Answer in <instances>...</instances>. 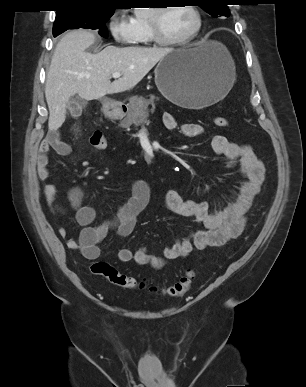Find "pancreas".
<instances>
[{
	"label": "pancreas",
	"mask_w": 306,
	"mask_h": 387,
	"mask_svg": "<svg viewBox=\"0 0 306 387\" xmlns=\"http://www.w3.org/2000/svg\"><path fill=\"white\" fill-rule=\"evenodd\" d=\"M154 97L151 99H145L144 97H132L131 107L133 108V112L122 121L123 126H130L134 124L136 127L145 123L146 118L148 116V113L146 112V109L149 104H151L154 107Z\"/></svg>",
	"instance_id": "pancreas-1"
}]
</instances>
